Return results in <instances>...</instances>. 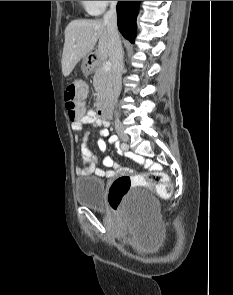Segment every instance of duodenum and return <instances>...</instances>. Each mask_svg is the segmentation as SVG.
<instances>
[{"label": "duodenum", "instance_id": "1", "mask_svg": "<svg viewBox=\"0 0 233 295\" xmlns=\"http://www.w3.org/2000/svg\"><path fill=\"white\" fill-rule=\"evenodd\" d=\"M95 109L96 112L104 118H109L111 115L110 104L106 99L98 101L95 105Z\"/></svg>", "mask_w": 233, "mask_h": 295}]
</instances>
